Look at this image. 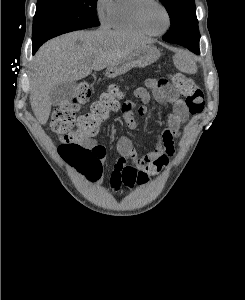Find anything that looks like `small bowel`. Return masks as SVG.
I'll return each mask as SVG.
<instances>
[{
	"instance_id": "c3829d8e",
	"label": "small bowel",
	"mask_w": 245,
	"mask_h": 300,
	"mask_svg": "<svg viewBox=\"0 0 245 300\" xmlns=\"http://www.w3.org/2000/svg\"><path fill=\"white\" fill-rule=\"evenodd\" d=\"M134 95L139 103L126 101L119 107L129 129L134 130L138 127L135 112L139 115L146 113V105L151 100V95L159 103L171 104L172 112L168 116L167 126L159 133L156 146L152 151L138 153L127 136L119 137L116 144L118 156L109 178L110 186L116 192L123 186L133 187L138 184L140 175L148 177L157 174L167 165L169 158L174 154V140L180 135V128L189 116L186 104L165 80L147 79L145 86L136 88ZM85 146L97 151L100 163L105 160V148L95 140L87 141Z\"/></svg>"
}]
</instances>
